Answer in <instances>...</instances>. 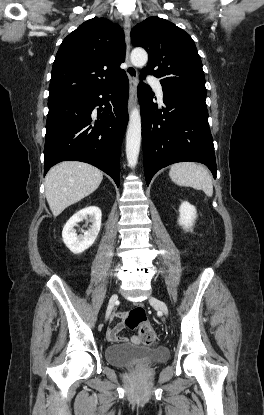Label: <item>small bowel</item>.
<instances>
[{
	"label": "small bowel",
	"instance_id": "c3829d8e",
	"mask_svg": "<svg viewBox=\"0 0 264 415\" xmlns=\"http://www.w3.org/2000/svg\"><path fill=\"white\" fill-rule=\"evenodd\" d=\"M125 316L124 312L119 311L114 315V321L112 325L106 331V339L110 344H119L128 342V338L123 336L121 332L125 329L123 322L115 320H120ZM131 342L134 344H140L141 341L137 336L131 338Z\"/></svg>",
	"mask_w": 264,
	"mask_h": 415
}]
</instances>
